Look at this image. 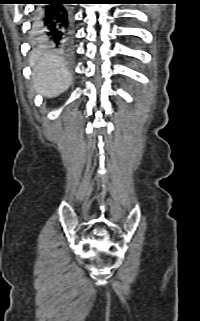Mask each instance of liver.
Wrapping results in <instances>:
<instances>
[{"mask_svg":"<svg viewBox=\"0 0 200 321\" xmlns=\"http://www.w3.org/2000/svg\"><path fill=\"white\" fill-rule=\"evenodd\" d=\"M29 62L33 67V86L38 93L53 98L69 88L72 76L63 58L38 49L31 53Z\"/></svg>","mask_w":200,"mask_h":321,"instance_id":"1","label":"liver"}]
</instances>
